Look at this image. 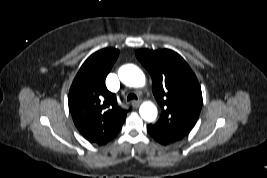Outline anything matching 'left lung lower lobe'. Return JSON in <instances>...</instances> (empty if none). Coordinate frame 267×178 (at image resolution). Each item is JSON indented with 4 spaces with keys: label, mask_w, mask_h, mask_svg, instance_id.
Returning <instances> with one entry per match:
<instances>
[{
    "label": "left lung lower lobe",
    "mask_w": 267,
    "mask_h": 178,
    "mask_svg": "<svg viewBox=\"0 0 267 178\" xmlns=\"http://www.w3.org/2000/svg\"><path fill=\"white\" fill-rule=\"evenodd\" d=\"M147 130H148L149 134L151 135V137L155 141H157L158 143H160L162 145H168V144H170L169 142H167L166 140H164L162 137H160L156 131L152 130L149 127H147Z\"/></svg>",
    "instance_id": "left-lung-lower-lobe-1"
}]
</instances>
